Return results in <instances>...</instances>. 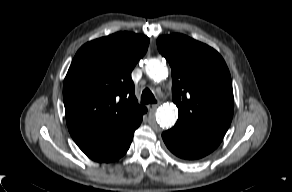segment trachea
<instances>
[{
	"label": "trachea",
	"instance_id": "trachea-1",
	"mask_svg": "<svg viewBox=\"0 0 292 192\" xmlns=\"http://www.w3.org/2000/svg\"><path fill=\"white\" fill-rule=\"evenodd\" d=\"M156 99L153 95V93L146 88L145 90H143L142 95H141V103L142 104H153L156 103Z\"/></svg>",
	"mask_w": 292,
	"mask_h": 192
}]
</instances>
